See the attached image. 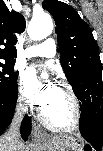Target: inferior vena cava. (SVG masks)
<instances>
[{
    "label": "inferior vena cava",
    "instance_id": "obj_1",
    "mask_svg": "<svg viewBox=\"0 0 103 151\" xmlns=\"http://www.w3.org/2000/svg\"><path fill=\"white\" fill-rule=\"evenodd\" d=\"M22 112H17L15 119L13 120L8 133L4 136L5 141L8 143L5 147L9 148V151H13L14 146L17 143V137L19 136V127L22 121Z\"/></svg>",
    "mask_w": 103,
    "mask_h": 151
}]
</instances>
